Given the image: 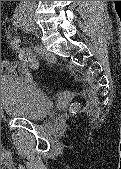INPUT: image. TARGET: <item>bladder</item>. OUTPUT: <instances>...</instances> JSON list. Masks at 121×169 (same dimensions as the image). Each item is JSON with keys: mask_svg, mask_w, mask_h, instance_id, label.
<instances>
[{"mask_svg": "<svg viewBox=\"0 0 121 169\" xmlns=\"http://www.w3.org/2000/svg\"><path fill=\"white\" fill-rule=\"evenodd\" d=\"M1 106L5 114L39 119L53 108L51 98L41 89L14 76L1 77Z\"/></svg>", "mask_w": 121, "mask_h": 169, "instance_id": "1", "label": "bladder"}]
</instances>
